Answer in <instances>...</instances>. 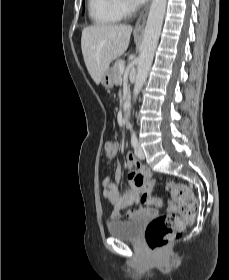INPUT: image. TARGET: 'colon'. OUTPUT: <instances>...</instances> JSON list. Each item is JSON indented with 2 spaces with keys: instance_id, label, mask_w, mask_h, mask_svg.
Returning a JSON list of instances; mask_svg holds the SVG:
<instances>
[{
  "instance_id": "1",
  "label": "colon",
  "mask_w": 229,
  "mask_h": 280,
  "mask_svg": "<svg viewBox=\"0 0 229 280\" xmlns=\"http://www.w3.org/2000/svg\"><path fill=\"white\" fill-rule=\"evenodd\" d=\"M103 152L107 160H111L115 152L114 144L111 142L105 143ZM134 182L137 185L147 182L155 184L156 180L147 174L139 173L135 176ZM167 188L178 206L179 215L168 214L156 217L147 226L145 231L146 241L151 251L155 253L160 252L171 240L177 238L183 232L186 224L191 222L199 211V202L189 185L170 182ZM151 204L159 206L161 200L154 198Z\"/></svg>"
}]
</instances>
